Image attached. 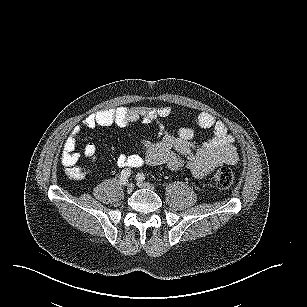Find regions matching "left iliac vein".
I'll list each match as a JSON object with an SVG mask.
<instances>
[{"label": "left iliac vein", "instance_id": "obj_1", "mask_svg": "<svg viewBox=\"0 0 307 307\" xmlns=\"http://www.w3.org/2000/svg\"><path fill=\"white\" fill-rule=\"evenodd\" d=\"M138 186H139L140 188H149V189H153V188H154V186H153L152 184H150V183H145V182H142V181H139V182H138Z\"/></svg>", "mask_w": 307, "mask_h": 307}]
</instances>
